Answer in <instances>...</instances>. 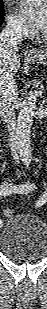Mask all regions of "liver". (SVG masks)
Instances as JSON below:
<instances>
[{
    "label": "liver",
    "mask_w": 47,
    "mask_h": 309,
    "mask_svg": "<svg viewBox=\"0 0 47 309\" xmlns=\"http://www.w3.org/2000/svg\"><path fill=\"white\" fill-rule=\"evenodd\" d=\"M16 52V47H2L0 41V76L3 72H18L21 63Z\"/></svg>",
    "instance_id": "6515ba94"
}]
</instances>
